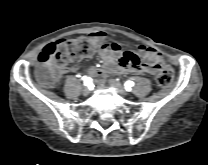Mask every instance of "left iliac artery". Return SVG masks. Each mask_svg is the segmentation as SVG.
Here are the masks:
<instances>
[{"label": "left iliac artery", "mask_w": 208, "mask_h": 165, "mask_svg": "<svg viewBox=\"0 0 208 165\" xmlns=\"http://www.w3.org/2000/svg\"><path fill=\"white\" fill-rule=\"evenodd\" d=\"M132 86H134V82H132V81H127L125 83V88H126L127 91H130Z\"/></svg>", "instance_id": "44dca946"}]
</instances>
